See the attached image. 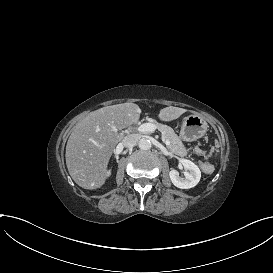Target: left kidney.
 <instances>
[{
	"label": "left kidney",
	"instance_id": "left-kidney-1",
	"mask_svg": "<svg viewBox=\"0 0 273 273\" xmlns=\"http://www.w3.org/2000/svg\"><path fill=\"white\" fill-rule=\"evenodd\" d=\"M179 162L185 169L184 176L180 177L179 172L177 170H171L169 172L170 179L172 183L181 189H189L198 184L201 178V171L197 165H195L192 161L180 158Z\"/></svg>",
	"mask_w": 273,
	"mask_h": 273
}]
</instances>
